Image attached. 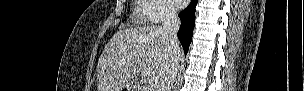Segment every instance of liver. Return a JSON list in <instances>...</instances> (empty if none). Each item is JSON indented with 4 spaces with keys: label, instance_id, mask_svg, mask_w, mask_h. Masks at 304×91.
<instances>
[{
    "label": "liver",
    "instance_id": "1",
    "mask_svg": "<svg viewBox=\"0 0 304 91\" xmlns=\"http://www.w3.org/2000/svg\"><path fill=\"white\" fill-rule=\"evenodd\" d=\"M168 46L161 26L119 30L98 60V91H121L139 74L159 80L170 61Z\"/></svg>",
    "mask_w": 304,
    "mask_h": 91
}]
</instances>
